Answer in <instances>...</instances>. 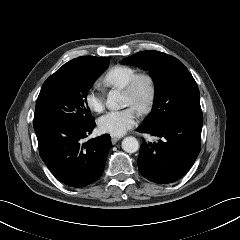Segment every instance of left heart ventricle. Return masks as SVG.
<instances>
[{"label":"left heart ventricle","instance_id":"1","mask_svg":"<svg viewBox=\"0 0 240 240\" xmlns=\"http://www.w3.org/2000/svg\"><path fill=\"white\" fill-rule=\"evenodd\" d=\"M147 94L148 86L145 81H141L133 95L122 93V104L125 106H130L137 111L145 102Z\"/></svg>","mask_w":240,"mask_h":240}]
</instances>
